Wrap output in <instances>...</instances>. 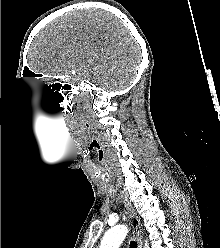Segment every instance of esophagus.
Segmentation results:
<instances>
[{"label": "esophagus", "mask_w": 220, "mask_h": 248, "mask_svg": "<svg viewBox=\"0 0 220 248\" xmlns=\"http://www.w3.org/2000/svg\"><path fill=\"white\" fill-rule=\"evenodd\" d=\"M127 213L132 221V226H133V233L134 236L137 240L138 243V248H142V236H141V221L140 218L138 217L134 207L132 206V204L128 201V199L126 197H124L122 195Z\"/></svg>", "instance_id": "esophagus-1"}]
</instances>
